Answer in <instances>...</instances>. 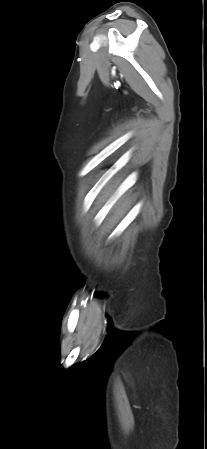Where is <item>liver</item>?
Segmentation results:
<instances>
[{
	"label": "liver",
	"instance_id": "6515ba94",
	"mask_svg": "<svg viewBox=\"0 0 207 449\" xmlns=\"http://www.w3.org/2000/svg\"><path fill=\"white\" fill-rule=\"evenodd\" d=\"M110 193H111V187H108V188L106 189V194L109 195Z\"/></svg>",
	"mask_w": 207,
	"mask_h": 449
}]
</instances>
